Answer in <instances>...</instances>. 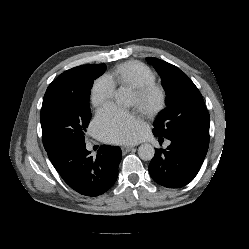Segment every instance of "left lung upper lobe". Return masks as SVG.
Wrapping results in <instances>:
<instances>
[{"mask_svg": "<svg viewBox=\"0 0 249 249\" xmlns=\"http://www.w3.org/2000/svg\"><path fill=\"white\" fill-rule=\"evenodd\" d=\"M161 76L167 107L153 126L156 137L167 139H201L209 141L210 116L201 93L190 78L176 66L147 57Z\"/></svg>", "mask_w": 249, "mask_h": 249, "instance_id": "1", "label": "left lung upper lobe"}]
</instances>
